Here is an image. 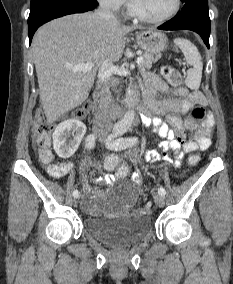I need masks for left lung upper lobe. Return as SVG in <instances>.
<instances>
[{"mask_svg":"<svg viewBox=\"0 0 233 284\" xmlns=\"http://www.w3.org/2000/svg\"><path fill=\"white\" fill-rule=\"evenodd\" d=\"M183 3L188 2L189 0H181Z\"/></svg>","mask_w":233,"mask_h":284,"instance_id":"5c2ea615","label":"left lung upper lobe"}]
</instances>
